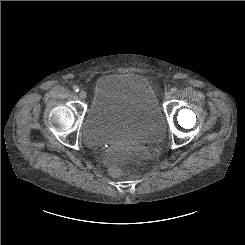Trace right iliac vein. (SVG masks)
<instances>
[{
	"mask_svg": "<svg viewBox=\"0 0 245 245\" xmlns=\"http://www.w3.org/2000/svg\"><path fill=\"white\" fill-rule=\"evenodd\" d=\"M78 94L81 99H85L87 97V93L84 90H80Z\"/></svg>",
	"mask_w": 245,
	"mask_h": 245,
	"instance_id": "obj_1",
	"label": "right iliac vein"
}]
</instances>
